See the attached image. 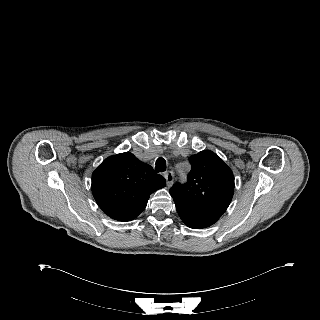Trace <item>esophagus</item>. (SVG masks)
Listing matches in <instances>:
<instances>
[{"mask_svg":"<svg viewBox=\"0 0 320 320\" xmlns=\"http://www.w3.org/2000/svg\"><path fill=\"white\" fill-rule=\"evenodd\" d=\"M164 177L166 179L168 187H170L173 184L174 173L172 171L165 172Z\"/></svg>","mask_w":320,"mask_h":320,"instance_id":"obj_1","label":"esophagus"}]
</instances>
